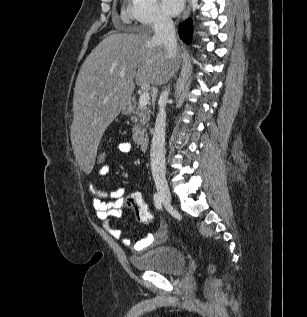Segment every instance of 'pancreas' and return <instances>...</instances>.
I'll return each instance as SVG.
<instances>
[{
	"label": "pancreas",
	"mask_w": 307,
	"mask_h": 317,
	"mask_svg": "<svg viewBox=\"0 0 307 317\" xmlns=\"http://www.w3.org/2000/svg\"><path fill=\"white\" fill-rule=\"evenodd\" d=\"M150 112V109L146 106L141 107L138 105L137 107H134V115L131 116V121L134 123L132 128V138L137 144H142L144 140L150 121Z\"/></svg>",
	"instance_id": "pancreas-1"
}]
</instances>
